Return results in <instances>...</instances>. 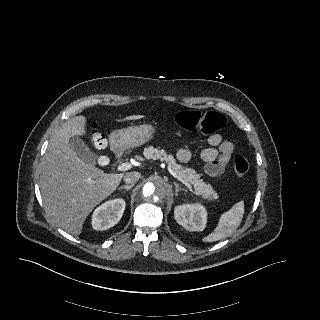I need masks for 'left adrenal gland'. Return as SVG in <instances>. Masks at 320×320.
I'll return each mask as SVG.
<instances>
[{
	"label": "left adrenal gland",
	"instance_id": "1",
	"mask_svg": "<svg viewBox=\"0 0 320 320\" xmlns=\"http://www.w3.org/2000/svg\"><path fill=\"white\" fill-rule=\"evenodd\" d=\"M174 185H175L176 195H178L180 191L186 192V190L184 188H181L177 183H174Z\"/></svg>",
	"mask_w": 320,
	"mask_h": 320
}]
</instances>
